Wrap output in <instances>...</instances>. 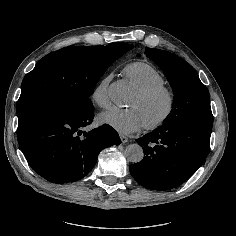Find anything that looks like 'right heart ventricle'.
<instances>
[{"mask_svg":"<svg viewBox=\"0 0 236 236\" xmlns=\"http://www.w3.org/2000/svg\"><path fill=\"white\" fill-rule=\"evenodd\" d=\"M124 73L135 90L145 91L165 83L163 75L145 61H134L124 67Z\"/></svg>","mask_w":236,"mask_h":236,"instance_id":"right-heart-ventricle-1","label":"right heart ventricle"}]
</instances>
